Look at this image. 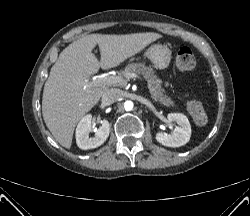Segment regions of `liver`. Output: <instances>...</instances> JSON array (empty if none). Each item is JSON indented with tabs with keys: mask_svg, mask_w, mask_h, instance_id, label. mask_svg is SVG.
<instances>
[{
	"mask_svg": "<svg viewBox=\"0 0 250 216\" xmlns=\"http://www.w3.org/2000/svg\"><path fill=\"white\" fill-rule=\"evenodd\" d=\"M161 38L160 34L127 35L90 34L69 46L60 54L44 85L42 114L55 140L69 149L79 120L100 100L107 87L87 86V79L103 70L117 67L146 46ZM98 45L100 62L92 53Z\"/></svg>",
	"mask_w": 250,
	"mask_h": 216,
	"instance_id": "liver-1",
	"label": "liver"
}]
</instances>
